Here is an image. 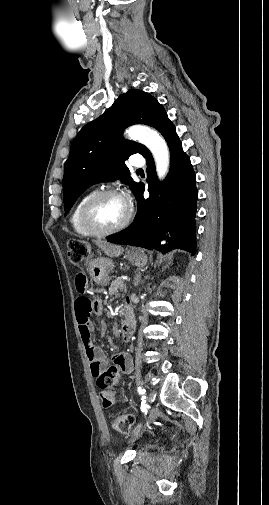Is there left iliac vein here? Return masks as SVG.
<instances>
[{
    "label": "left iliac vein",
    "mask_w": 269,
    "mask_h": 505,
    "mask_svg": "<svg viewBox=\"0 0 269 505\" xmlns=\"http://www.w3.org/2000/svg\"><path fill=\"white\" fill-rule=\"evenodd\" d=\"M159 412H160L159 408H152L149 411V415H148L146 422L144 424L140 425L136 429V431L134 432V434L131 438L132 442L141 436V434L146 430V428L158 417Z\"/></svg>",
    "instance_id": "4c4485c4"
}]
</instances>
